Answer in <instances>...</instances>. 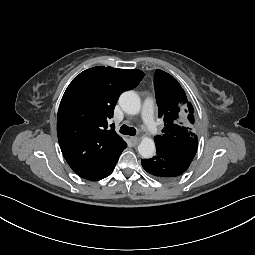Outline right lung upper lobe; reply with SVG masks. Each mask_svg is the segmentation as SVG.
I'll return each mask as SVG.
<instances>
[{"mask_svg":"<svg viewBox=\"0 0 255 255\" xmlns=\"http://www.w3.org/2000/svg\"><path fill=\"white\" fill-rule=\"evenodd\" d=\"M144 75L137 69L97 66L67 87L58 110L57 135L64 158L80 177H92L127 147L114 125L108 129V120L120 94L136 87Z\"/></svg>","mask_w":255,"mask_h":255,"instance_id":"cb5924a9","label":"right lung upper lobe"}]
</instances>
